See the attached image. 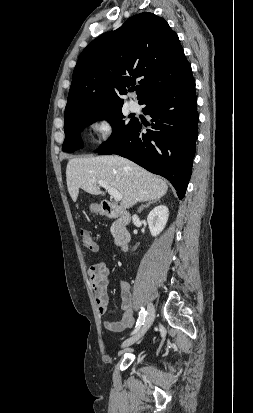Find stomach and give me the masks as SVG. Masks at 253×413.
Wrapping results in <instances>:
<instances>
[{"label":"stomach","instance_id":"1","mask_svg":"<svg viewBox=\"0 0 253 413\" xmlns=\"http://www.w3.org/2000/svg\"><path fill=\"white\" fill-rule=\"evenodd\" d=\"M90 210H91V212L98 213V212H101V207L97 204H92L90 206Z\"/></svg>","mask_w":253,"mask_h":413}]
</instances>
